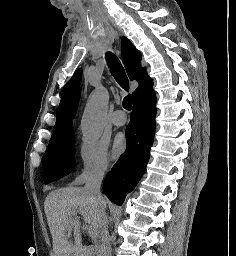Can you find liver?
<instances>
[{
    "instance_id": "liver-1",
    "label": "liver",
    "mask_w": 236,
    "mask_h": 256,
    "mask_svg": "<svg viewBox=\"0 0 236 256\" xmlns=\"http://www.w3.org/2000/svg\"><path fill=\"white\" fill-rule=\"evenodd\" d=\"M103 208H106V202ZM44 210L54 256H86L88 248L83 246L80 222L73 216L80 212L84 222L97 232L103 224L105 212H99L96 202L88 198L81 188L70 186L50 192L45 198ZM72 236L73 240H69Z\"/></svg>"
}]
</instances>
